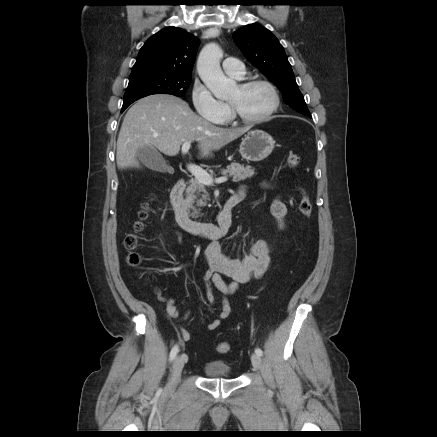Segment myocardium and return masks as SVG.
Wrapping results in <instances>:
<instances>
[{"instance_id": "myocardium-1", "label": "myocardium", "mask_w": 437, "mask_h": 437, "mask_svg": "<svg viewBox=\"0 0 437 437\" xmlns=\"http://www.w3.org/2000/svg\"><path fill=\"white\" fill-rule=\"evenodd\" d=\"M257 85H263L270 90V92L272 94V98H273V101H272L270 108L264 114H262L258 117H246L239 112L237 107L232 102L229 101L232 117L236 121H239V122L245 123V124H258V123H262V122L268 120L277 111V109L280 105V96H279L277 88L275 87V85L272 82L265 80V79L257 78V79H249V80L243 81L242 83L239 84V86L242 89H248L250 87L257 86Z\"/></svg>"}]
</instances>
